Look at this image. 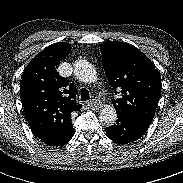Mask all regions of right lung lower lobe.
<instances>
[{
    "instance_id": "obj_1",
    "label": "right lung lower lobe",
    "mask_w": 183,
    "mask_h": 183,
    "mask_svg": "<svg viewBox=\"0 0 183 183\" xmlns=\"http://www.w3.org/2000/svg\"><path fill=\"white\" fill-rule=\"evenodd\" d=\"M73 134H71L67 138H63V139H58V140H41V141L44 142L47 145H50V146H62L64 144H66L73 137Z\"/></svg>"
}]
</instances>
